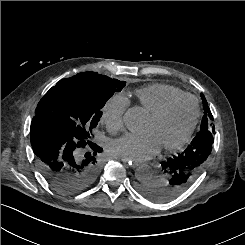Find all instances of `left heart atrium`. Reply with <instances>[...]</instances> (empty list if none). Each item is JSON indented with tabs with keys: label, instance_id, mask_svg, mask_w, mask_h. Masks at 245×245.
<instances>
[{
	"label": "left heart atrium",
	"instance_id": "obj_1",
	"mask_svg": "<svg viewBox=\"0 0 245 245\" xmlns=\"http://www.w3.org/2000/svg\"><path fill=\"white\" fill-rule=\"evenodd\" d=\"M160 147L150 133L126 134L111 143V151L114 155L132 160L145 161L152 158Z\"/></svg>",
	"mask_w": 245,
	"mask_h": 245
}]
</instances>
